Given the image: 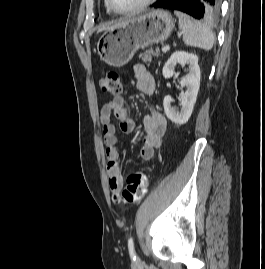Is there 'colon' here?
<instances>
[{
	"label": "colon",
	"instance_id": "5ec220e1",
	"mask_svg": "<svg viewBox=\"0 0 265 269\" xmlns=\"http://www.w3.org/2000/svg\"><path fill=\"white\" fill-rule=\"evenodd\" d=\"M101 91L110 96H118L122 87L120 75L115 70H109L100 81ZM149 187V178L143 172H134L127 177L126 185L120 193V202L132 204L140 201Z\"/></svg>",
	"mask_w": 265,
	"mask_h": 269
}]
</instances>
